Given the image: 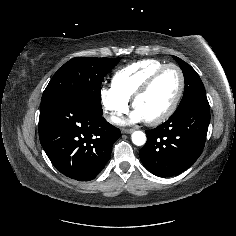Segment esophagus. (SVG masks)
Segmentation results:
<instances>
[{"label": "esophagus", "mask_w": 236, "mask_h": 236, "mask_svg": "<svg viewBox=\"0 0 236 236\" xmlns=\"http://www.w3.org/2000/svg\"><path fill=\"white\" fill-rule=\"evenodd\" d=\"M122 132L125 133V134H130V133L133 132V130L125 128V129H122Z\"/></svg>", "instance_id": "1"}]
</instances>
